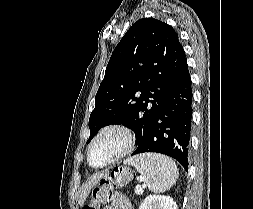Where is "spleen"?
I'll use <instances>...</instances> for the list:
<instances>
[{
    "label": "spleen",
    "instance_id": "3e777b00",
    "mask_svg": "<svg viewBox=\"0 0 253 209\" xmlns=\"http://www.w3.org/2000/svg\"><path fill=\"white\" fill-rule=\"evenodd\" d=\"M141 174L149 190L154 193L165 192L176 183L178 168L167 156L156 153H144L125 160Z\"/></svg>",
    "mask_w": 253,
    "mask_h": 209
}]
</instances>
